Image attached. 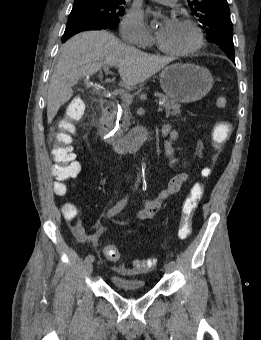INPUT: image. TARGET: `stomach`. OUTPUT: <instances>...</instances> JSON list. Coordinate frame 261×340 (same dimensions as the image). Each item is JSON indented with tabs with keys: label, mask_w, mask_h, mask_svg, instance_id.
<instances>
[{
	"label": "stomach",
	"mask_w": 261,
	"mask_h": 340,
	"mask_svg": "<svg viewBox=\"0 0 261 340\" xmlns=\"http://www.w3.org/2000/svg\"><path fill=\"white\" fill-rule=\"evenodd\" d=\"M164 93L176 102L193 103L204 98L212 89L210 71L195 64H172L160 73Z\"/></svg>",
	"instance_id": "stomach-1"
}]
</instances>
